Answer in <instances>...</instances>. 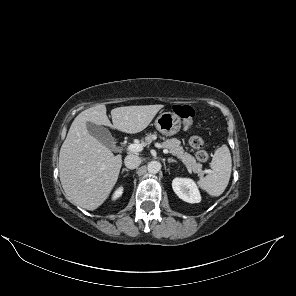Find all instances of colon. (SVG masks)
I'll return each instance as SVG.
<instances>
[{
	"label": "colon",
	"instance_id": "obj_1",
	"mask_svg": "<svg viewBox=\"0 0 296 296\" xmlns=\"http://www.w3.org/2000/svg\"><path fill=\"white\" fill-rule=\"evenodd\" d=\"M173 111L183 120L184 129H190L194 124V109L185 104H175ZM189 145L197 150L196 157L200 162H206L209 159V154L203 150L204 140L201 136L193 135L188 140Z\"/></svg>",
	"mask_w": 296,
	"mask_h": 296
}]
</instances>
